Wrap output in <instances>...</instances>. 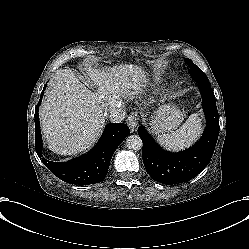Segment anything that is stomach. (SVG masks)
Masks as SVG:
<instances>
[{
    "instance_id": "1",
    "label": "stomach",
    "mask_w": 249,
    "mask_h": 249,
    "mask_svg": "<svg viewBox=\"0 0 249 249\" xmlns=\"http://www.w3.org/2000/svg\"><path fill=\"white\" fill-rule=\"evenodd\" d=\"M183 121V113L174 104L160 106L149 118L153 134L173 132Z\"/></svg>"
}]
</instances>
